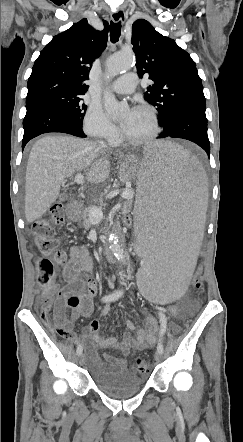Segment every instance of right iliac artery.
<instances>
[{
    "instance_id": "1",
    "label": "right iliac artery",
    "mask_w": 243,
    "mask_h": 442,
    "mask_svg": "<svg viewBox=\"0 0 243 442\" xmlns=\"http://www.w3.org/2000/svg\"><path fill=\"white\" fill-rule=\"evenodd\" d=\"M122 295H123V290H117L109 295L104 296L102 298V301L103 302H112V301L118 300ZM82 351H83L82 345L79 344L77 347V355L78 356L81 355Z\"/></svg>"
}]
</instances>
